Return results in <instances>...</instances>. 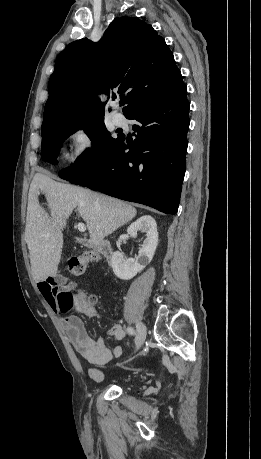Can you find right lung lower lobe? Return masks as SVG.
I'll return each mask as SVG.
<instances>
[{
  "mask_svg": "<svg viewBox=\"0 0 261 459\" xmlns=\"http://www.w3.org/2000/svg\"><path fill=\"white\" fill-rule=\"evenodd\" d=\"M182 83L165 98L140 106L127 118L136 139L122 137L96 169L70 181L107 195L175 214L185 174L190 104ZM128 145V146H127ZM131 151L126 152V149Z\"/></svg>",
  "mask_w": 261,
  "mask_h": 459,
  "instance_id": "1",
  "label": "right lung lower lobe"
}]
</instances>
